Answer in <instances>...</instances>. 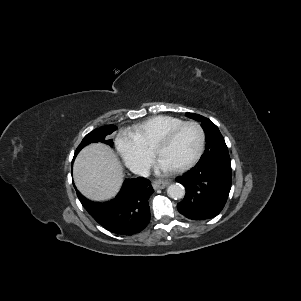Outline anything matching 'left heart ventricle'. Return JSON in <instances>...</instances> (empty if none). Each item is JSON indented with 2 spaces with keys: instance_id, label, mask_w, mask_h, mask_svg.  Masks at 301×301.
<instances>
[{
  "instance_id": "1",
  "label": "left heart ventricle",
  "mask_w": 301,
  "mask_h": 301,
  "mask_svg": "<svg viewBox=\"0 0 301 301\" xmlns=\"http://www.w3.org/2000/svg\"><path fill=\"white\" fill-rule=\"evenodd\" d=\"M198 143V130L190 125L182 128L170 142L154 147V152L161 160L175 168L194 156Z\"/></svg>"
}]
</instances>
